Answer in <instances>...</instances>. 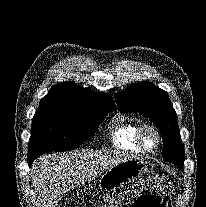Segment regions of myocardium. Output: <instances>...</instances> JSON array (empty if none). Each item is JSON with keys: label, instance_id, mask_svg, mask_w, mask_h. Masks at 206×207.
Wrapping results in <instances>:
<instances>
[{"label": "myocardium", "instance_id": "myocardium-1", "mask_svg": "<svg viewBox=\"0 0 206 207\" xmlns=\"http://www.w3.org/2000/svg\"><path fill=\"white\" fill-rule=\"evenodd\" d=\"M146 131L153 132V134L156 137V142L154 146L152 147L147 146V144L145 143L144 134ZM137 143L144 152L150 153V152L156 151L162 143V135H161L160 130L155 125L150 124V123H145V124L140 125L137 130Z\"/></svg>", "mask_w": 206, "mask_h": 207}]
</instances>
